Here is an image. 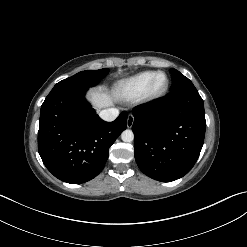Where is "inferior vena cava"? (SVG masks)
Masks as SVG:
<instances>
[{
    "instance_id": "inferior-vena-cava-1",
    "label": "inferior vena cava",
    "mask_w": 247,
    "mask_h": 247,
    "mask_svg": "<svg viewBox=\"0 0 247 247\" xmlns=\"http://www.w3.org/2000/svg\"><path fill=\"white\" fill-rule=\"evenodd\" d=\"M118 115L119 110L116 108L105 109L99 113L100 118L107 122L114 121L118 117Z\"/></svg>"
}]
</instances>
